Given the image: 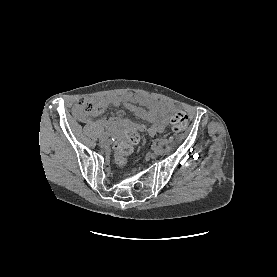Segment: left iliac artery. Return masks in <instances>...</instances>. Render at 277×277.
<instances>
[{"label":"left iliac artery","instance_id":"44dca946","mask_svg":"<svg viewBox=\"0 0 277 277\" xmlns=\"http://www.w3.org/2000/svg\"><path fill=\"white\" fill-rule=\"evenodd\" d=\"M168 142H169V141H168L167 139H160V140H159V144H160V145H166V144H168Z\"/></svg>","mask_w":277,"mask_h":277}]
</instances>
